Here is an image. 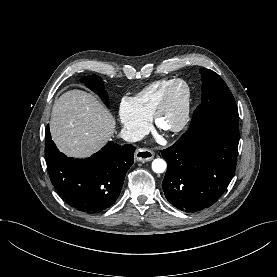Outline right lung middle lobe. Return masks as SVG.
Segmentation results:
<instances>
[{
  "label": "right lung middle lobe",
  "instance_id": "obj_1",
  "mask_svg": "<svg viewBox=\"0 0 277 277\" xmlns=\"http://www.w3.org/2000/svg\"><path fill=\"white\" fill-rule=\"evenodd\" d=\"M81 81L84 82L88 88L98 92L102 98L108 101V96L104 89V85L101 77L96 75H89V76L83 77Z\"/></svg>",
  "mask_w": 277,
  "mask_h": 277
}]
</instances>
